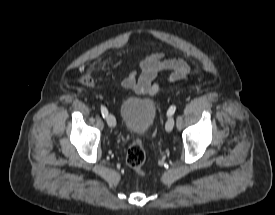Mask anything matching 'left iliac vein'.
<instances>
[{"mask_svg":"<svg viewBox=\"0 0 275 215\" xmlns=\"http://www.w3.org/2000/svg\"><path fill=\"white\" fill-rule=\"evenodd\" d=\"M173 127H174V118L169 117L167 122H166L165 129H166L167 132H171Z\"/></svg>","mask_w":275,"mask_h":215,"instance_id":"obj_1","label":"left iliac vein"}]
</instances>
